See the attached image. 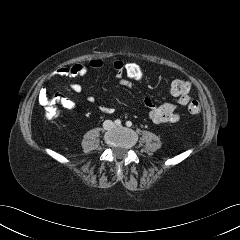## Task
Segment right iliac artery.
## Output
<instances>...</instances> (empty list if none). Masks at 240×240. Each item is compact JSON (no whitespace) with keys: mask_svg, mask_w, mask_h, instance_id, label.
Instances as JSON below:
<instances>
[{"mask_svg":"<svg viewBox=\"0 0 240 240\" xmlns=\"http://www.w3.org/2000/svg\"><path fill=\"white\" fill-rule=\"evenodd\" d=\"M115 124H116L117 126H119V125H121V121H120L119 119H117V120H115Z\"/></svg>","mask_w":240,"mask_h":240,"instance_id":"1","label":"right iliac artery"}]
</instances>
